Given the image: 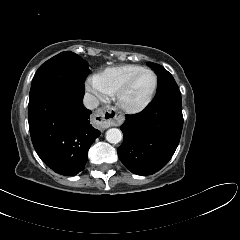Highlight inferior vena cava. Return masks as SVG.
Here are the masks:
<instances>
[{
	"mask_svg": "<svg viewBox=\"0 0 240 240\" xmlns=\"http://www.w3.org/2000/svg\"><path fill=\"white\" fill-rule=\"evenodd\" d=\"M83 104L87 109L92 110L98 107L99 99L90 93H86L83 98Z\"/></svg>",
	"mask_w": 240,
	"mask_h": 240,
	"instance_id": "1",
	"label": "inferior vena cava"
}]
</instances>
